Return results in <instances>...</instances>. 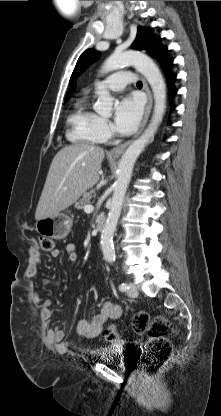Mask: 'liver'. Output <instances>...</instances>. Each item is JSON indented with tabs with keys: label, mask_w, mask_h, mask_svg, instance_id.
<instances>
[{
	"label": "liver",
	"mask_w": 221,
	"mask_h": 416,
	"mask_svg": "<svg viewBox=\"0 0 221 416\" xmlns=\"http://www.w3.org/2000/svg\"><path fill=\"white\" fill-rule=\"evenodd\" d=\"M104 150L99 146L76 143L54 156L42 190L35 219L60 213L75 203L99 180Z\"/></svg>",
	"instance_id": "1"
}]
</instances>
